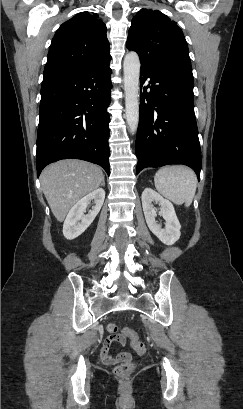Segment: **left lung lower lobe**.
I'll return each instance as SVG.
<instances>
[{
    "label": "left lung lower lobe",
    "mask_w": 243,
    "mask_h": 409,
    "mask_svg": "<svg viewBox=\"0 0 243 409\" xmlns=\"http://www.w3.org/2000/svg\"><path fill=\"white\" fill-rule=\"evenodd\" d=\"M147 79L149 84L143 87ZM193 85L192 68L187 63L140 69L136 174L146 167L184 164L200 179L201 149Z\"/></svg>",
    "instance_id": "1"
}]
</instances>
